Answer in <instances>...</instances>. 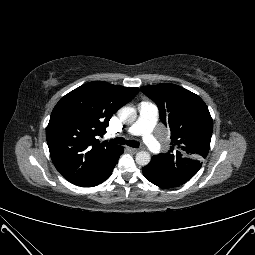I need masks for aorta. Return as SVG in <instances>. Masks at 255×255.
<instances>
[{
    "mask_svg": "<svg viewBox=\"0 0 255 255\" xmlns=\"http://www.w3.org/2000/svg\"><path fill=\"white\" fill-rule=\"evenodd\" d=\"M121 119L125 122L132 123L136 120V110L131 107H125L120 113ZM136 163L141 166H146L151 161V156L147 151H140L135 156Z\"/></svg>",
    "mask_w": 255,
    "mask_h": 255,
    "instance_id": "obj_1",
    "label": "aorta"
}]
</instances>
